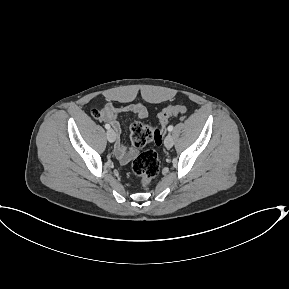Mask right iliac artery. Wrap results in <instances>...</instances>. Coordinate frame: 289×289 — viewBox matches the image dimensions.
I'll use <instances>...</instances> for the list:
<instances>
[{"label": "right iliac artery", "instance_id": "82829eb1", "mask_svg": "<svg viewBox=\"0 0 289 289\" xmlns=\"http://www.w3.org/2000/svg\"><path fill=\"white\" fill-rule=\"evenodd\" d=\"M105 128L109 130L110 129V125L109 124H105Z\"/></svg>", "mask_w": 289, "mask_h": 289}]
</instances>
